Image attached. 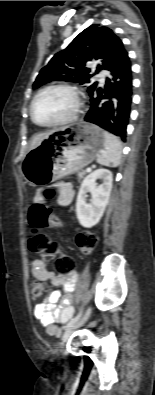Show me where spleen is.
<instances>
[{
  "label": "spleen",
  "mask_w": 155,
  "mask_h": 395,
  "mask_svg": "<svg viewBox=\"0 0 155 395\" xmlns=\"http://www.w3.org/2000/svg\"><path fill=\"white\" fill-rule=\"evenodd\" d=\"M120 140L109 132H104V146L97 155V162L104 166L117 167L121 161Z\"/></svg>",
  "instance_id": "3e777b00"
}]
</instances>
